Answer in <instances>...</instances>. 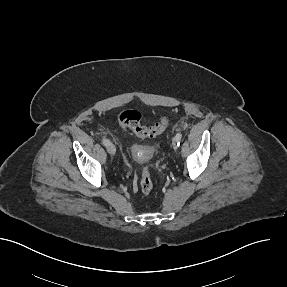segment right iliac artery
I'll list each match as a JSON object with an SVG mask.
<instances>
[{
	"mask_svg": "<svg viewBox=\"0 0 287 287\" xmlns=\"http://www.w3.org/2000/svg\"><path fill=\"white\" fill-rule=\"evenodd\" d=\"M103 145L107 146L109 144V140L108 139H103L102 140Z\"/></svg>",
	"mask_w": 287,
	"mask_h": 287,
	"instance_id": "obj_1",
	"label": "right iliac artery"
}]
</instances>
